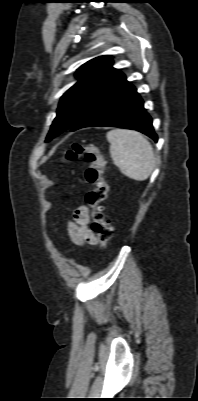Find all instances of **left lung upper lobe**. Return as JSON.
Masks as SVG:
<instances>
[{"mask_svg":"<svg viewBox=\"0 0 198 401\" xmlns=\"http://www.w3.org/2000/svg\"><path fill=\"white\" fill-rule=\"evenodd\" d=\"M110 56H99L83 64L76 72L78 81L61 97L57 116L54 119L46 141L70 129L90 102L118 74L112 67Z\"/></svg>","mask_w":198,"mask_h":401,"instance_id":"obj_1","label":"left lung upper lobe"}]
</instances>
